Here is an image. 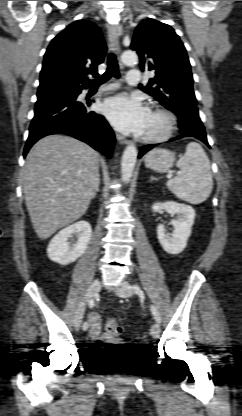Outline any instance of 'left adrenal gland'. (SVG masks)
<instances>
[{"label": "left adrenal gland", "mask_w": 242, "mask_h": 416, "mask_svg": "<svg viewBox=\"0 0 242 416\" xmlns=\"http://www.w3.org/2000/svg\"><path fill=\"white\" fill-rule=\"evenodd\" d=\"M150 180H157L156 178H154L153 176L150 177Z\"/></svg>", "instance_id": "1"}]
</instances>
